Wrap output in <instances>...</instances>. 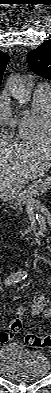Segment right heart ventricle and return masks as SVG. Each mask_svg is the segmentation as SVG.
I'll return each instance as SVG.
<instances>
[{
  "label": "right heart ventricle",
  "mask_w": 51,
  "mask_h": 393,
  "mask_svg": "<svg viewBox=\"0 0 51 393\" xmlns=\"http://www.w3.org/2000/svg\"><path fill=\"white\" fill-rule=\"evenodd\" d=\"M22 141L33 144H47L51 141V89L39 85L33 94L30 110L17 121Z\"/></svg>",
  "instance_id": "e07e8e85"
}]
</instances>
